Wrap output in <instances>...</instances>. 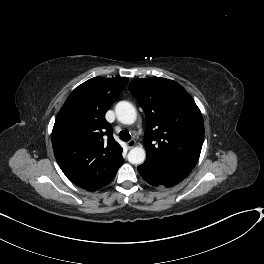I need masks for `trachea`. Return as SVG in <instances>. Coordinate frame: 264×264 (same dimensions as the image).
I'll use <instances>...</instances> for the list:
<instances>
[{
  "label": "trachea",
  "mask_w": 264,
  "mask_h": 264,
  "mask_svg": "<svg viewBox=\"0 0 264 264\" xmlns=\"http://www.w3.org/2000/svg\"><path fill=\"white\" fill-rule=\"evenodd\" d=\"M119 137L122 141H129L131 136L127 131H120L119 133Z\"/></svg>",
  "instance_id": "1"
}]
</instances>
